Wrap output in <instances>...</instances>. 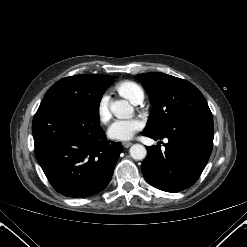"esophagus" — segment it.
<instances>
[{"label":"esophagus","instance_id":"esophagus-1","mask_svg":"<svg viewBox=\"0 0 247 247\" xmlns=\"http://www.w3.org/2000/svg\"><path fill=\"white\" fill-rule=\"evenodd\" d=\"M122 144L125 148H129L132 145V142H123Z\"/></svg>","mask_w":247,"mask_h":247}]
</instances>
